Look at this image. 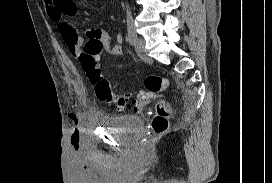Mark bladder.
<instances>
[{
  "instance_id": "1",
  "label": "bladder",
  "mask_w": 272,
  "mask_h": 183,
  "mask_svg": "<svg viewBox=\"0 0 272 183\" xmlns=\"http://www.w3.org/2000/svg\"><path fill=\"white\" fill-rule=\"evenodd\" d=\"M99 121L106 128L126 133H137L143 124L142 118L136 115H110Z\"/></svg>"
}]
</instances>
